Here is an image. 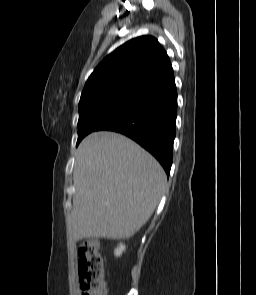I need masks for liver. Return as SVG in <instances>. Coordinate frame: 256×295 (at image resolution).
Here are the masks:
<instances>
[{
	"instance_id": "6515ba94",
	"label": "liver",
	"mask_w": 256,
	"mask_h": 295,
	"mask_svg": "<svg viewBox=\"0 0 256 295\" xmlns=\"http://www.w3.org/2000/svg\"><path fill=\"white\" fill-rule=\"evenodd\" d=\"M73 181V240H118L133 236L149 220L167 176L159 162L131 139L94 132L77 149Z\"/></svg>"
}]
</instances>
